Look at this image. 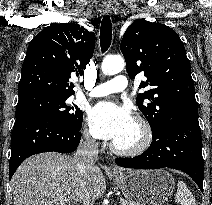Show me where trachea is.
Listing matches in <instances>:
<instances>
[{"mask_svg": "<svg viewBox=\"0 0 212 205\" xmlns=\"http://www.w3.org/2000/svg\"><path fill=\"white\" fill-rule=\"evenodd\" d=\"M112 40V24L108 15L104 16L100 28V45L102 52L108 50Z\"/></svg>", "mask_w": 212, "mask_h": 205, "instance_id": "3493384b", "label": "trachea"}]
</instances>
